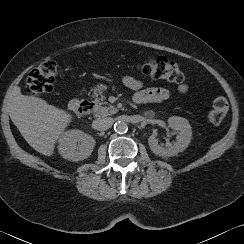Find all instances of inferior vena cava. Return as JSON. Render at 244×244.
Wrapping results in <instances>:
<instances>
[{
	"label": "inferior vena cava",
	"instance_id": "602c4592",
	"mask_svg": "<svg viewBox=\"0 0 244 244\" xmlns=\"http://www.w3.org/2000/svg\"><path fill=\"white\" fill-rule=\"evenodd\" d=\"M114 121L111 117L97 118L94 121V126L97 130L103 131L112 127Z\"/></svg>",
	"mask_w": 244,
	"mask_h": 244
}]
</instances>
